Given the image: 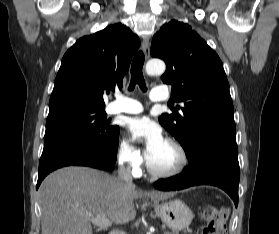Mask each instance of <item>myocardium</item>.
<instances>
[{
    "label": "myocardium",
    "mask_w": 279,
    "mask_h": 234,
    "mask_svg": "<svg viewBox=\"0 0 279 234\" xmlns=\"http://www.w3.org/2000/svg\"><path fill=\"white\" fill-rule=\"evenodd\" d=\"M165 142L171 144L178 153V163L172 169L161 171L155 169L146 157V168L149 174L158 179H169L181 174L188 165V154L184 146L175 138L168 137Z\"/></svg>",
    "instance_id": "obj_1"
}]
</instances>
